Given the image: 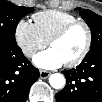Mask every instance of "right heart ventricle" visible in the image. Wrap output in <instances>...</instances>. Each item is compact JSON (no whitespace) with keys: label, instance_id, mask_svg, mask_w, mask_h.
Returning a JSON list of instances; mask_svg holds the SVG:
<instances>
[{"label":"right heart ventricle","instance_id":"right-heart-ventricle-1","mask_svg":"<svg viewBox=\"0 0 102 102\" xmlns=\"http://www.w3.org/2000/svg\"><path fill=\"white\" fill-rule=\"evenodd\" d=\"M34 25L40 35L47 41L70 22L77 20L71 13L60 10H46L33 15Z\"/></svg>","mask_w":102,"mask_h":102}]
</instances>
